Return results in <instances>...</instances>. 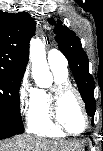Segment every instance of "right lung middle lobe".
<instances>
[{
	"mask_svg": "<svg viewBox=\"0 0 103 151\" xmlns=\"http://www.w3.org/2000/svg\"><path fill=\"white\" fill-rule=\"evenodd\" d=\"M22 76L0 68V135L24 132L19 104Z\"/></svg>",
	"mask_w": 103,
	"mask_h": 151,
	"instance_id": "obj_1",
	"label": "right lung middle lobe"
}]
</instances>
